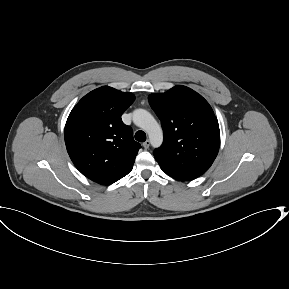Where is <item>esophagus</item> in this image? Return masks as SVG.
<instances>
[{
	"mask_svg": "<svg viewBox=\"0 0 289 289\" xmlns=\"http://www.w3.org/2000/svg\"><path fill=\"white\" fill-rule=\"evenodd\" d=\"M142 145H143V147H144L145 149H148L149 146H150V141H149V140H146Z\"/></svg>",
	"mask_w": 289,
	"mask_h": 289,
	"instance_id": "1",
	"label": "esophagus"
}]
</instances>
